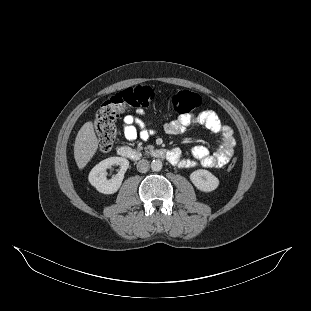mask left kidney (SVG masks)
<instances>
[{
	"label": "left kidney",
	"instance_id": "left-kidney-1",
	"mask_svg": "<svg viewBox=\"0 0 311 311\" xmlns=\"http://www.w3.org/2000/svg\"><path fill=\"white\" fill-rule=\"evenodd\" d=\"M191 180L201 190L210 191L218 186L217 178L207 170H197L191 174Z\"/></svg>",
	"mask_w": 311,
	"mask_h": 311
}]
</instances>
